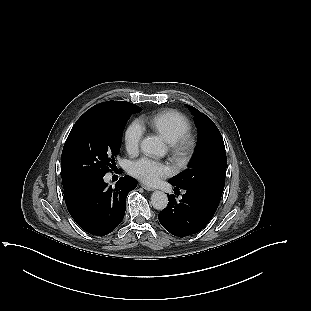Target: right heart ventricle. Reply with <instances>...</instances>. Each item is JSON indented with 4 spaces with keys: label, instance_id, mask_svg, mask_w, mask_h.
<instances>
[{
    "label": "right heart ventricle",
    "instance_id": "obj_1",
    "mask_svg": "<svg viewBox=\"0 0 311 311\" xmlns=\"http://www.w3.org/2000/svg\"><path fill=\"white\" fill-rule=\"evenodd\" d=\"M150 124L171 145L187 135L191 129L189 119L177 110H167L155 115Z\"/></svg>",
    "mask_w": 311,
    "mask_h": 311
}]
</instances>
